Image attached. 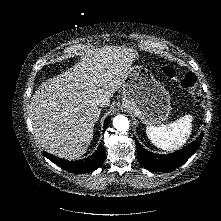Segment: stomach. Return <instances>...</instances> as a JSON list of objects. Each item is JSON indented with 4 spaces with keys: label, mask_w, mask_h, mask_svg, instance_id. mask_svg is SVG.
Masks as SVG:
<instances>
[{
    "label": "stomach",
    "mask_w": 221,
    "mask_h": 221,
    "mask_svg": "<svg viewBox=\"0 0 221 221\" xmlns=\"http://www.w3.org/2000/svg\"><path fill=\"white\" fill-rule=\"evenodd\" d=\"M170 95L145 67L134 65L122 84L124 107L142 123L155 126L164 122L171 110Z\"/></svg>",
    "instance_id": "0dacf381"
}]
</instances>
